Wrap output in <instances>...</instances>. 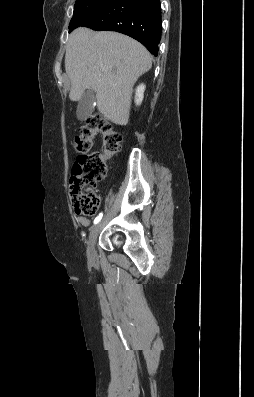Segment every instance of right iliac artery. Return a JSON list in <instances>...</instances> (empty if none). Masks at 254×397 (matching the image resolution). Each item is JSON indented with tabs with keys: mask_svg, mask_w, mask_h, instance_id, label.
<instances>
[{
	"mask_svg": "<svg viewBox=\"0 0 254 397\" xmlns=\"http://www.w3.org/2000/svg\"><path fill=\"white\" fill-rule=\"evenodd\" d=\"M103 216V213H99V215L94 219V224H97Z\"/></svg>",
	"mask_w": 254,
	"mask_h": 397,
	"instance_id": "right-iliac-artery-1",
	"label": "right iliac artery"
}]
</instances>
